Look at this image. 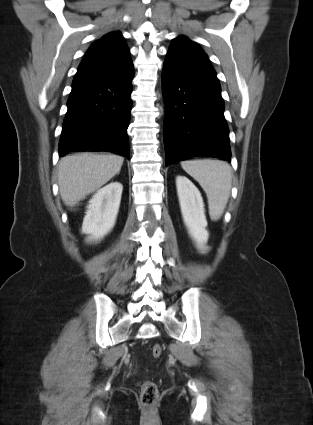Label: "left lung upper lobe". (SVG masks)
I'll return each mask as SVG.
<instances>
[{
    "instance_id": "obj_1",
    "label": "left lung upper lobe",
    "mask_w": 313,
    "mask_h": 425,
    "mask_svg": "<svg viewBox=\"0 0 313 425\" xmlns=\"http://www.w3.org/2000/svg\"><path fill=\"white\" fill-rule=\"evenodd\" d=\"M166 58L174 60L185 68L216 75L203 49L185 36H179L173 40Z\"/></svg>"
}]
</instances>
